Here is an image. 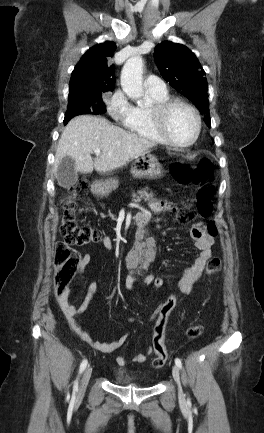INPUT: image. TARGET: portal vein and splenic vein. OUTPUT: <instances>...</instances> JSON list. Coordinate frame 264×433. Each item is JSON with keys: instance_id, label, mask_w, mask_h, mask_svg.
Here are the masks:
<instances>
[{"instance_id": "obj_1", "label": "portal vein and splenic vein", "mask_w": 264, "mask_h": 433, "mask_svg": "<svg viewBox=\"0 0 264 433\" xmlns=\"http://www.w3.org/2000/svg\"><path fill=\"white\" fill-rule=\"evenodd\" d=\"M94 153H95L96 155H99V154L101 153V150H100V149H95V150H94Z\"/></svg>"}]
</instances>
